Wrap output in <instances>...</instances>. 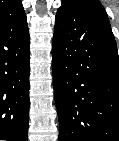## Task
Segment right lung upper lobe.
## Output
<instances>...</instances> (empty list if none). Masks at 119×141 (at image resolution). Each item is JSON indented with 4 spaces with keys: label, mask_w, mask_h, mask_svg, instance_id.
Wrapping results in <instances>:
<instances>
[{
    "label": "right lung upper lobe",
    "mask_w": 119,
    "mask_h": 141,
    "mask_svg": "<svg viewBox=\"0 0 119 141\" xmlns=\"http://www.w3.org/2000/svg\"><path fill=\"white\" fill-rule=\"evenodd\" d=\"M23 14L21 0H0V19H15Z\"/></svg>",
    "instance_id": "obj_1"
}]
</instances>
